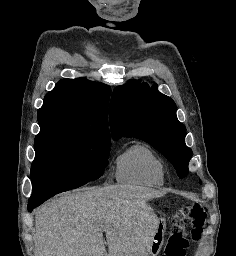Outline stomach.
Returning a JSON list of instances; mask_svg holds the SVG:
<instances>
[{
	"mask_svg": "<svg viewBox=\"0 0 236 256\" xmlns=\"http://www.w3.org/2000/svg\"><path fill=\"white\" fill-rule=\"evenodd\" d=\"M165 230H166V223L163 219H161L154 235V242L151 246V251H150L151 256L158 255L162 247V241L164 238Z\"/></svg>",
	"mask_w": 236,
	"mask_h": 256,
	"instance_id": "stomach-1",
	"label": "stomach"
}]
</instances>
